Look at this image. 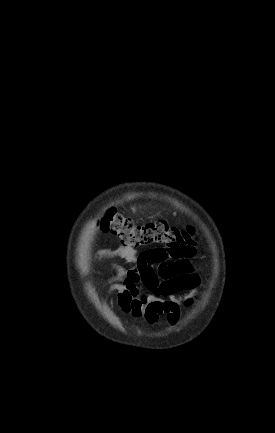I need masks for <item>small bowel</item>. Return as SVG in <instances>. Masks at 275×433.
<instances>
[{
	"mask_svg": "<svg viewBox=\"0 0 275 433\" xmlns=\"http://www.w3.org/2000/svg\"><path fill=\"white\" fill-rule=\"evenodd\" d=\"M162 248L137 252L118 246L97 254L98 259L122 257L134 267L112 266L106 280L110 294H116L119 308L135 318L154 324L165 316L170 325L177 323L181 306H190L201 279L192 257L167 260Z\"/></svg>",
	"mask_w": 275,
	"mask_h": 433,
	"instance_id": "obj_1",
	"label": "small bowel"
}]
</instances>
